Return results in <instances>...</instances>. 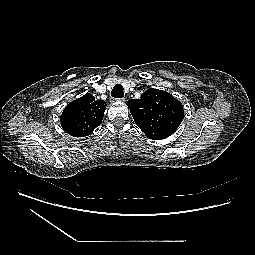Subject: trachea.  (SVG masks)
Instances as JSON below:
<instances>
[{"mask_svg":"<svg viewBox=\"0 0 255 255\" xmlns=\"http://www.w3.org/2000/svg\"><path fill=\"white\" fill-rule=\"evenodd\" d=\"M111 96L114 98H122L124 96L123 86L121 84H116L111 91Z\"/></svg>","mask_w":255,"mask_h":255,"instance_id":"trachea-1","label":"trachea"}]
</instances>
